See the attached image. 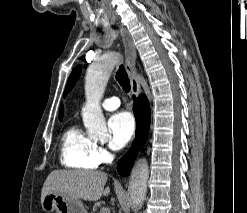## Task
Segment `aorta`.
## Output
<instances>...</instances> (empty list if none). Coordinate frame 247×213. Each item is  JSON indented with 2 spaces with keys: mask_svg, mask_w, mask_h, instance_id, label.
<instances>
[{
  "mask_svg": "<svg viewBox=\"0 0 247 213\" xmlns=\"http://www.w3.org/2000/svg\"><path fill=\"white\" fill-rule=\"evenodd\" d=\"M117 61L118 54L109 52L87 70L85 77L86 103L82 108V117L84 126L91 137H97L107 132L100 101ZM148 177L149 166L146 159L139 160L132 169L128 187L133 208L139 209L144 203Z\"/></svg>",
  "mask_w": 247,
  "mask_h": 213,
  "instance_id": "obj_1",
  "label": "aorta"
}]
</instances>
